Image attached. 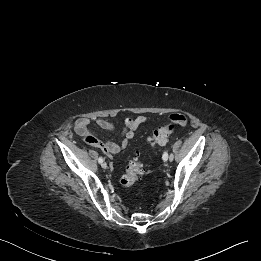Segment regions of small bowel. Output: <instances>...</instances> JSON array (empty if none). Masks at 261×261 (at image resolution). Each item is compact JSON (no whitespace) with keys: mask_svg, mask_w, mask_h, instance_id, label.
<instances>
[{"mask_svg":"<svg viewBox=\"0 0 261 261\" xmlns=\"http://www.w3.org/2000/svg\"><path fill=\"white\" fill-rule=\"evenodd\" d=\"M181 116L185 117L183 114H172L170 116ZM186 118V117H185ZM150 120L146 116H137L133 117H126L122 121L123 129L120 132L121 137L123 140L119 143L116 142H104L99 139L96 135H94L90 131V127L92 126V120L89 118H79L75 121L74 128L78 135H80L83 140L91 145L94 146L101 151H103L107 156H112L113 154L119 153L122 149L126 148L129 144V141L134 137L136 130L143 124L148 123ZM95 124L100 127L101 129L109 132H115L116 126L103 118L95 119Z\"/></svg>","mask_w":261,"mask_h":261,"instance_id":"c3829d8e","label":"small bowel"}]
</instances>
